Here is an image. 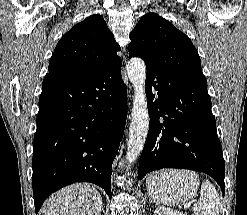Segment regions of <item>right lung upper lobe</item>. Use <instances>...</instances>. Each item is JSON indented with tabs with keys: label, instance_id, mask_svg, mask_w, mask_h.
Here are the masks:
<instances>
[{
	"label": "right lung upper lobe",
	"instance_id": "obj_1",
	"mask_svg": "<svg viewBox=\"0 0 247 215\" xmlns=\"http://www.w3.org/2000/svg\"><path fill=\"white\" fill-rule=\"evenodd\" d=\"M120 46L102 16L91 15L73 26L58 42L49 73L69 79H85L121 62Z\"/></svg>",
	"mask_w": 247,
	"mask_h": 215
}]
</instances>
